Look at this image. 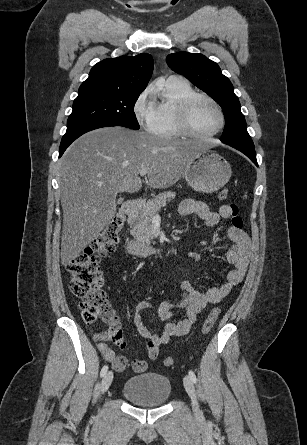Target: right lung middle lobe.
Masks as SVG:
<instances>
[{
  "label": "right lung middle lobe",
  "mask_w": 307,
  "mask_h": 445,
  "mask_svg": "<svg viewBox=\"0 0 307 445\" xmlns=\"http://www.w3.org/2000/svg\"><path fill=\"white\" fill-rule=\"evenodd\" d=\"M139 96L92 94L78 96L67 121V130L86 124H110L139 129L134 104Z\"/></svg>",
  "instance_id": "right-lung-middle-lobe-1"
}]
</instances>
